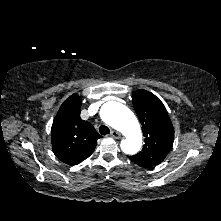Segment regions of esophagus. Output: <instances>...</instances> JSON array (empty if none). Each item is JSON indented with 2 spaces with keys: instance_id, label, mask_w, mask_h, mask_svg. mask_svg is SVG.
Listing matches in <instances>:
<instances>
[{
  "instance_id": "1",
  "label": "esophagus",
  "mask_w": 221,
  "mask_h": 221,
  "mask_svg": "<svg viewBox=\"0 0 221 221\" xmlns=\"http://www.w3.org/2000/svg\"><path fill=\"white\" fill-rule=\"evenodd\" d=\"M110 135L113 137V138H115V139H119V138H121V133L120 132H118V131H116V130H112L111 131V133H110Z\"/></svg>"
}]
</instances>
